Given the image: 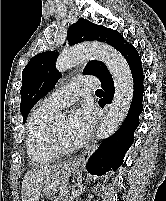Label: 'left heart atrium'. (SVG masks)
<instances>
[{"instance_id": "obj_1", "label": "left heart atrium", "mask_w": 166, "mask_h": 201, "mask_svg": "<svg viewBox=\"0 0 166 201\" xmlns=\"http://www.w3.org/2000/svg\"><path fill=\"white\" fill-rule=\"evenodd\" d=\"M93 125L94 115L89 106H82L72 112L68 132L75 146L82 145L88 139Z\"/></svg>"}]
</instances>
